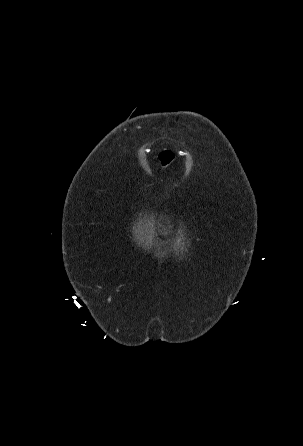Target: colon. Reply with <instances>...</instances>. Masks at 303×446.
<instances>
[{"label":"colon","mask_w":303,"mask_h":446,"mask_svg":"<svg viewBox=\"0 0 303 446\" xmlns=\"http://www.w3.org/2000/svg\"><path fill=\"white\" fill-rule=\"evenodd\" d=\"M174 153L171 151L162 152L159 156L160 164L162 168H166L170 163L174 161Z\"/></svg>","instance_id":"1"}]
</instances>
